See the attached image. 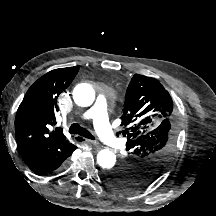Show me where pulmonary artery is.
Listing matches in <instances>:
<instances>
[{
	"instance_id": "pulmonary-artery-1",
	"label": "pulmonary artery",
	"mask_w": 216,
	"mask_h": 216,
	"mask_svg": "<svg viewBox=\"0 0 216 216\" xmlns=\"http://www.w3.org/2000/svg\"><path fill=\"white\" fill-rule=\"evenodd\" d=\"M107 107L105 95L99 94L94 105L83 113L82 118L93 121L95 131L104 144L119 149L123 147L124 142L115 135L109 121Z\"/></svg>"
}]
</instances>
